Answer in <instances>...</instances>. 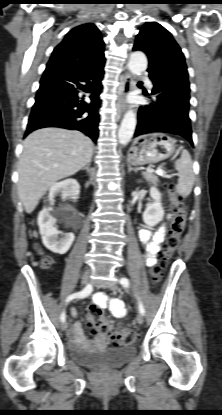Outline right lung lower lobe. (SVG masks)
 <instances>
[{"label":"right lung lower lobe","instance_id":"98d812e1","mask_svg":"<svg viewBox=\"0 0 222 415\" xmlns=\"http://www.w3.org/2000/svg\"><path fill=\"white\" fill-rule=\"evenodd\" d=\"M104 63L88 69L47 65L25 136L39 128L60 127L79 130L96 142ZM80 91L90 93V103L78 99Z\"/></svg>","mask_w":222,"mask_h":415}]
</instances>
